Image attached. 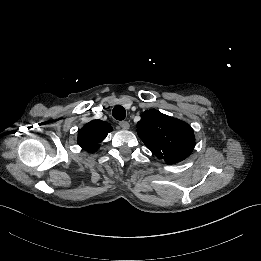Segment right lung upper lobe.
Wrapping results in <instances>:
<instances>
[{"label": "right lung upper lobe", "instance_id": "1", "mask_svg": "<svg viewBox=\"0 0 261 261\" xmlns=\"http://www.w3.org/2000/svg\"><path fill=\"white\" fill-rule=\"evenodd\" d=\"M112 131V127L105 121L92 120L78 132V144L88 152L99 148V143Z\"/></svg>", "mask_w": 261, "mask_h": 261}]
</instances>
